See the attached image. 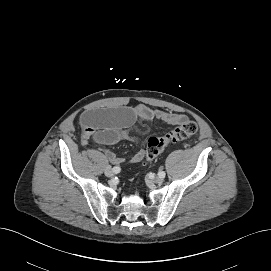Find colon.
<instances>
[{"label":"colon","mask_w":271,"mask_h":271,"mask_svg":"<svg viewBox=\"0 0 271 271\" xmlns=\"http://www.w3.org/2000/svg\"><path fill=\"white\" fill-rule=\"evenodd\" d=\"M197 130L196 123L185 119L160 137H151L147 143L145 159L154 160L167 146L192 136Z\"/></svg>","instance_id":"5ec220e1"}]
</instances>
